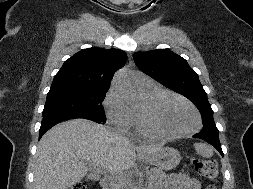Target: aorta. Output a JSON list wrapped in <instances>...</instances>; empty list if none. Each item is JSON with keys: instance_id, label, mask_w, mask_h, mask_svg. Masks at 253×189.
Listing matches in <instances>:
<instances>
[{"instance_id": "obj_1", "label": "aorta", "mask_w": 253, "mask_h": 189, "mask_svg": "<svg viewBox=\"0 0 253 189\" xmlns=\"http://www.w3.org/2000/svg\"><path fill=\"white\" fill-rule=\"evenodd\" d=\"M114 85L116 89L122 94L124 100L128 105H135L139 102L137 91L127 76L118 74L115 78Z\"/></svg>"}]
</instances>
